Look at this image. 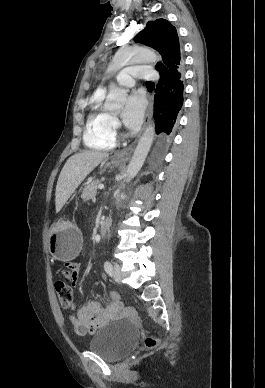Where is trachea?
I'll return each mask as SVG.
<instances>
[{"label": "trachea", "mask_w": 265, "mask_h": 388, "mask_svg": "<svg viewBox=\"0 0 265 388\" xmlns=\"http://www.w3.org/2000/svg\"><path fill=\"white\" fill-rule=\"evenodd\" d=\"M146 83H149V84H151L152 82H146Z\"/></svg>", "instance_id": "3493384b"}]
</instances>
